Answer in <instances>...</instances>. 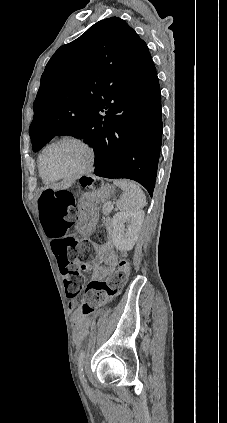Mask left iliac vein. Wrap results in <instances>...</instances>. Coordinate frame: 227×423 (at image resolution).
Instances as JSON below:
<instances>
[{
  "label": "left iliac vein",
  "mask_w": 227,
  "mask_h": 423,
  "mask_svg": "<svg viewBox=\"0 0 227 423\" xmlns=\"http://www.w3.org/2000/svg\"><path fill=\"white\" fill-rule=\"evenodd\" d=\"M82 383H83L84 388H87L88 387L85 379H83Z\"/></svg>",
  "instance_id": "left-iliac-vein-1"
}]
</instances>
